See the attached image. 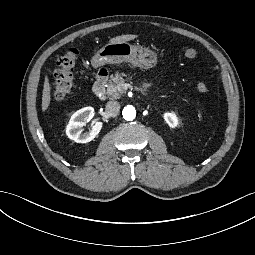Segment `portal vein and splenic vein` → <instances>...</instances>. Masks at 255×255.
<instances>
[{"label": "portal vein and splenic vein", "instance_id": "obj_1", "mask_svg": "<svg viewBox=\"0 0 255 255\" xmlns=\"http://www.w3.org/2000/svg\"><path fill=\"white\" fill-rule=\"evenodd\" d=\"M135 88H137V87H135L132 83H122V84H119V85L117 86V89H118V90H120V89H124V90L130 89V90L132 91V90H134ZM137 90L140 91V92H144V93H147V92H151V91H152L151 88H137Z\"/></svg>", "mask_w": 255, "mask_h": 255}]
</instances>
